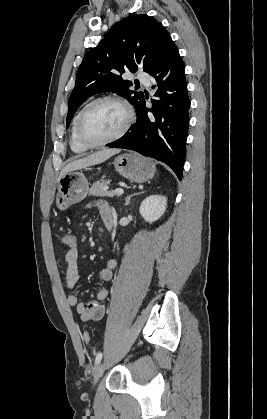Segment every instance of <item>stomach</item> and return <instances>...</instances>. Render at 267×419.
<instances>
[{
    "instance_id": "1",
    "label": "stomach",
    "mask_w": 267,
    "mask_h": 419,
    "mask_svg": "<svg viewBox=\"0 0 267 419\" xmlns=\"http://www.w3.org/2000/svg\"><path fill=\"white\" fill-rule=\"evenodd\" d=\"M116 171L132 182L142 183L153 177L155 165L151 160L129 153L115 158ZM89 184L82 172L70 171L58 179L55 205L64 211L72 204L82 201L88 194Z\"/></svg>"
}]
</instances>
